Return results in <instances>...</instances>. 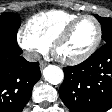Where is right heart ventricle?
<instances>
[{
  "instance_id": "1",
  "label": "right heart ventricle",
  "mask_w": 112,
  "mask_h": 112,
  "mask_svg": "<svg viewBox=\"0 0 112 112\" xmlns=\"http://www.w3.org/2000/svg\"><path fill=\"white\" fill-rule=\"evenodd\" d=\"M80 14L65 10H50L34 15L27 23L29 30L46 44H52L59 32Z\"/></svg>"
}]
</instances>
